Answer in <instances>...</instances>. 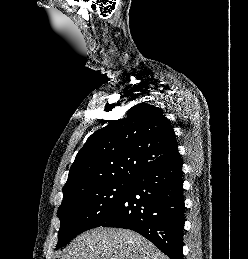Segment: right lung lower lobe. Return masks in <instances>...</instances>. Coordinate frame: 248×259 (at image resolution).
I'll list each match as a JSON object with an SVG mask.
<instances>
[{
  "instance_id": "98d812e1",
  "label": "right lung lower lobe",
  "mask_w": 248,
  "mask_h": 259,
  "mask_svg": "<svg viewBox=\"0 0 248 259\" xmlns=\"http://www.w3.org/2000/svg\"><path fill=\"white\" fill-rule=\"evenodd\" d=\"M182 174L178 157L138 175L111 214L97 227L134 230L170 259H183Z\"/></svg>"
}]
</instances>
